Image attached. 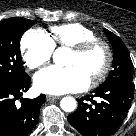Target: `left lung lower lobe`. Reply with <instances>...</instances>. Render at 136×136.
Segmentation results:
<instances>
[{
  "label": "left lung lower lobe",
  "mask_w": 136,
  "mask_h": 136,
  "mask_svg": "<svg viewBox=\"0 0 136 136\" xmlns=\"http://www.w3.org/2000/svg\"><path fill=\"white\" fill-rule=\"evenodd\" d=\"M133 95V82L106 84L93 95L78 99V108L68 121L83 136H110L123 123ZM94 97L101 101L96 102Z\"/></svg>",
  "instance_id": "left-lung-lower-lobe-1"
}]
</instances>
